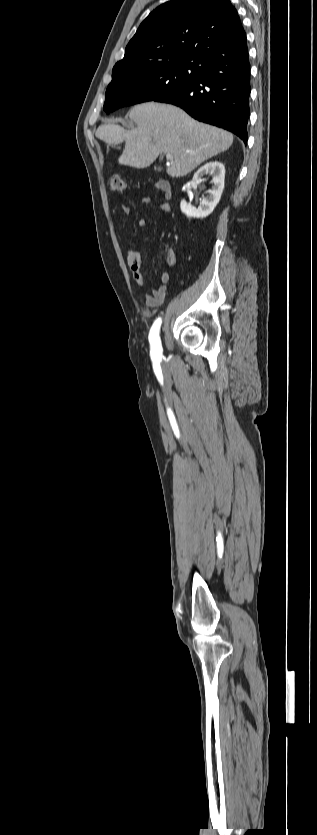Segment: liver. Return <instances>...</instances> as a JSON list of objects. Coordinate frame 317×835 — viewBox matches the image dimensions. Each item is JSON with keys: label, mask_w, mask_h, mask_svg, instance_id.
<instances>
[{"label": "liver", "mask_w": 317, "mask_h": 835, "mask_svg": "<svg viewBox=\"0 0 317 835\" xmlns=\"http://www.w3.org/2000/svg\"><path fill=\"white\" fill-rule=\"evenodd\" d=\"M129 118L137 125L132 130L106 123L98 127L96 137L109 145L125 142L120 165L146 168L160 153L172 154L167 168L171 177L187 175L233 142L231 133L198 122L173 105L142 103L129 111Z\"/></svg>", "instance_id": "6515ba94"}]
</instances>
